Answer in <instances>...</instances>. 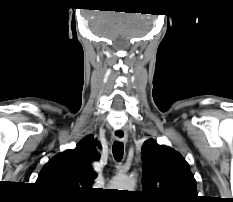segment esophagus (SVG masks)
<instances>
[{"label":"esophagus","mask_w":233,"mask_h":202,"mask_svg":"<svg viewBox=\"0 0 233 202\" xmlns=\"http://www.w3.org/2000/svg\"><path fill=\"white\" fill-rule=\"evenodd\" d=\"M113 137L118 141H126L127 140V133L122 128L115 129L113 132Z\"/></svg>","instance_id":"1"}]
</instances>
